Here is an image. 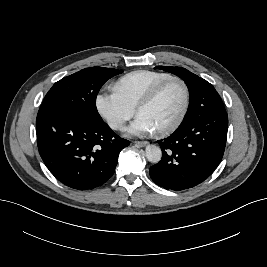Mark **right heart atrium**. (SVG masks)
I'll return each instance as SVG.
<instances>
[{
  "label": "right heart atrium",
  "mask_w": 267,
  "mask_h": 267,
  "mask_svg": "<svg viewBox=\"0 0 267 267\" xmlns=\"http://www.w3.org/2000/svg\"><path fill=\"white\" fill-rule=\"evenodd\" d=\"M95 105L99 115L114 130H122L135 113V108L114 90L99 93L96 96Z\"/></svg>",
  "instance_id": "right-heart-atrium-1"
}]
</instances>
